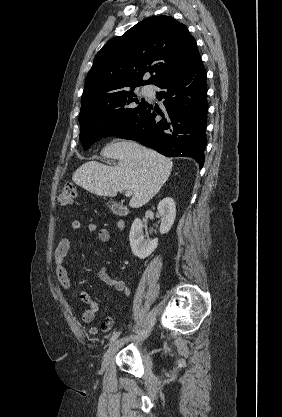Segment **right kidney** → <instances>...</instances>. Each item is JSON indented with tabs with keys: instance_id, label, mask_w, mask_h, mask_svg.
Returning <instances> with one entry per match:
<instances>
[{
	"instance_id": "obj_1",
	"label": "right kidney",
	"mask_w": 282,
	"mask_h": 417,
	"mask_svg": "<svg viewBox=\"0 0 282 417\" xmlns=\"http://www.w3.org/2000/svg\"><path fill=\"white\" fill-rule=\"evenodd\" d=\"M158 213L161 215L160 233L165 235L169 233L172 225H174L176 217V204L174 198L166 196L160 200L158 206ZM130 247L133 255L138 259H146L155 249H157L158 239H144L143 223L141 219H135L132 223L129 235Z\"/></svg>"
}]
</instances>
